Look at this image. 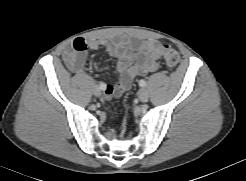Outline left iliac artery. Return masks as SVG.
<instances>
[{
    "label": "left iliac artery",
    "mask_w": 246,
    "mask_h": 181,
    "mask_svg": "<svg viewBox=\"0 0 246 181\" xmlns=\"http://www.w3.org/2000/svg\"><path fill=\"white\" fill-rule=\"evenodd\" d=\"M139 86L145 87V86H146V81L143 80V79H141V80L139 81Z\"/></svg>",
    "instance_id": "left-iliac-artery-1"
}]
</instances>
